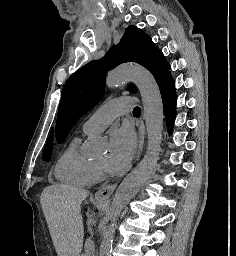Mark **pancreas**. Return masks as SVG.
<instances>
[{"label":"pancreas","instance_id":"cf45deb5","mask_svg":"<svg viewBox=\"0 0 236 256\" xmlns=\"http://www.w3.org/2000/svg\"><path fill=\"white\" fill-rule=\"evenodd\" d=\"M88 224H95L96 220L95 219H88L87 220ZM92 234V232H91ZM84 249L85 250H92L93 247L95 246V243L93 242V238H86V242L83 243Z\"/></svg>","mask_w":236,"mask_h":256}]
</instances>
